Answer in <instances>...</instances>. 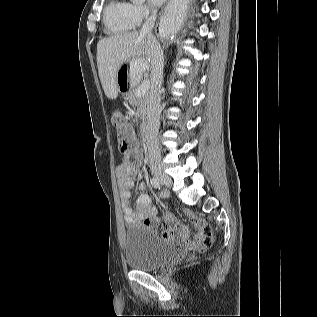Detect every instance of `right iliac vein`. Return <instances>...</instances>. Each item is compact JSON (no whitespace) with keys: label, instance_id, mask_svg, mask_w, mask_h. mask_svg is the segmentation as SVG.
Listing matches in <instances>:
<instances>
[{"label":"right iliac vein","instance_id":"63e3f726","mask_svg":"<svg viewBox=\"0 0 317 317\" xmlns=\"http://www.w3.org/2000/svg\"><path fill=\"white\" fill-rule=\"evenodd\" d=\"M154 175L156 176V178L164 185L166 186H171L172 185V181L171 178L165 174L163 171L161 170H156L154 172Z\"/></svg>","mask_w":317,"mask_h":317}]
</instances>
